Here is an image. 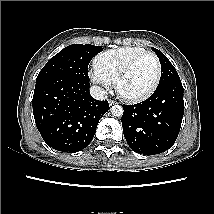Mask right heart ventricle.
<instances>
[{
    "mask_svg": "<svg viewBox=\"0 0 214 214\" xmlns=\"http://www.w3.org/2000/svg\"><path fill=\"white\" fill-rule=\"evenodd\" d=\"M145 51L141 47L129 46L102 52L94 59L95 70L114 83L125 65L133 57Z\"/></svg>",
    "mask_w": 214,
    "mask_h": 214,
    "instance_id": "1",
    "label": "right heart ventricle"
}]
</instances>
